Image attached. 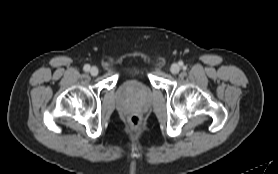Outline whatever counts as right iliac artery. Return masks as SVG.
Listing matches in <instances>:
<instances>
[{
  "label": "right iliac artery",
  "mask_w": 278,
  "mask_h": 174,
  "mask_svg": "<svg viewBox=\"0 0 278 174\" xmlns=\"http://www.w3.org/2000/svg\"><path fill=\"white\" fill-rule=\"evenodd\" d=\"M83 69H84V71H89L90 65L89 64L84 65Z\"/></svg>",
  "instance_id": "82829eb1"
}]
</instances>
